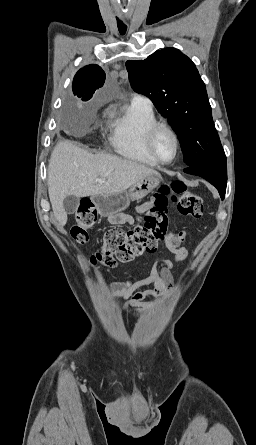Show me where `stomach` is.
Segmentation results:
<instances>
[{"mask_svg": "<svg viewBox=\"0 0 256 445\" xmlns=\"http://www.w3.org/2000/svg\"><path fill=\"white\" fill-rule=\"evenodd\" d=\"M160 181V175H151L132 185L128 191L112 195L94 196L93 202L101 216L112 217L124 211L131 201H138L144 198L160 185Z\"/></svg>", "mask_w": 256, "mask_h": 445, "instance_id": "1", "label": "stomach"}]
</instances>
